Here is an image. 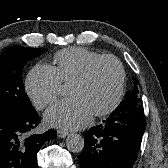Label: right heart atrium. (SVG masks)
I'll return each instance as SVG.
<instances>
[{"label": "right heart atrium", "mask_w": 168, "mask_h": 168, "mask_svg": "<svg viewBox=\"0 0 168 168\" xmlns=\"http://www.w3.org/2000/svg\"><path fill=\"white\" fill-rule=\"evenodd\" d=\"M62 87L63 82L56 69L44 64L34 66L25 82L26 93L38 109L53 103L59 97Z\"/></svg>", "instance_id": "d8ad5b80"}]
</instances>
